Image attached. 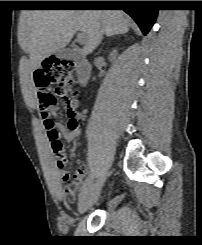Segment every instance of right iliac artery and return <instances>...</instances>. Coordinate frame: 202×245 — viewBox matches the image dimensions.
Here are the masks:
<instances>
[{
  "instance_id": "obj_1",
  "label": "right iliac artery",
  "mask_w": 202,
  "mask_h": 245,
  "mask_svg": "<svg viewBox=\"0 0 202 245\" xmlns=\"http://www.w3.org/2000/svg\"><path fill=\"white\" fill-rule=\"evenodd\" d=\"M93 179H94L93 176H89V177L86 178V180L82 184L81 193L80 194H82L85 190H87L91 186V184L93 182Z\"/></svg>"
}]
</instances>
